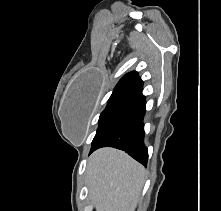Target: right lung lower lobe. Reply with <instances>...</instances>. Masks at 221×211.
Segmentation results:
<instances>
[{
    "label": "right lung lower lobe",
    "mask_w": 221,
    "mask_h": 211,
    "mask_svg": "<svg viewBox=\"0 0 221 211\" xmlns=\"http://www.w3.org/2000/svg\"><path fill=\"white\" fill-rule=\"evenodd\" d=\"M146 101L142 91L124 107L116 119L92 142L90 154L101 147L124 150L144 166L148 152L144 145L143 118Z\"/></svg>",
    "instance_id": "right-lung-lower-lobe-1"
}]
</instances>
